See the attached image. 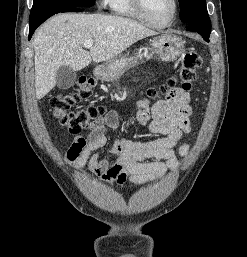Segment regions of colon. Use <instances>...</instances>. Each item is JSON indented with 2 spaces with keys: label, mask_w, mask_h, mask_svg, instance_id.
<instances>
[{
  "label": "colon",
  "mask_w": 247,
  "mask_h": 257,
  "mask_svg": "<svg viewBox=\"0 0 247 257\" xmlns=\"http://www.w3.org/2000/svg\"><path fill=\"white\" fill-rule=\"evenodd\" d=\"M200 66V56L194 50L188 49L184 54L179 72L182 90L187 92L191 90L195 73ZM175 83L176 79L171 78L168 86L172 87ZM93 86L91 79L80 78L75 83L73 92L56 95L50 100L53 116L71 133H78L89 128L94 121L106 113V108L102 105L73 109L78 102L92 97ZM149 95L156 97L157 92L152 90Z\"/></svg>",
  "instance_id": "colon-1"
}]
</instances>
